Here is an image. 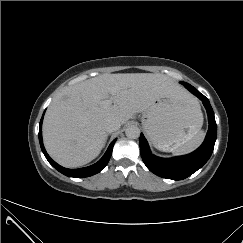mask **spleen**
Returning <instances> with one entry per match:
<instances>
[{"label":"spleen","instance_id":"spleen-1","mask_svg":"<svg viewBox=\"0 0 243 243\" xmlns=\"http://www.w3.org/2000/svg\"><path fill=\"white\" fill-rule=\"evenodd\" d=\"M204 137L205 133L199 130L190 140L184 144L174 146L170 151L175 155L190 153L200 146Z\"/></svg>","mask_w":243,"mask_h":243}]
</instances>
